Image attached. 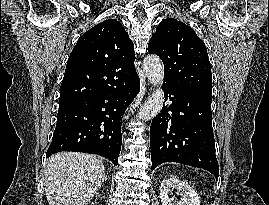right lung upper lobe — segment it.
Instances as JSON below:
<instances>
[{"label": "right lung upper lobe", "instance_id": "cb5924a9", "mask_svg": "<svg viewBox=\"0 0 269 205\" xmlns=\"http://www.w3.org/2000/svg\"><path fill=\"white\" fill-rule=\"evenodd\" d=\"M135 52L123 26L115 19L85 32L74 46L61 84L60 102L112 90L135 71Z\"/></svg>", "mask_w": 269, "mask_h": 205}]
</instances>
